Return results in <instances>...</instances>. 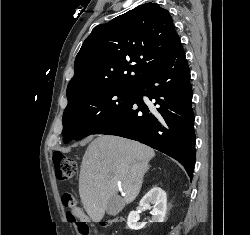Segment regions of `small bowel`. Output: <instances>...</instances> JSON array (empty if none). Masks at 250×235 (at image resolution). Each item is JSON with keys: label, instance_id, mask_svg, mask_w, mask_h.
<instances>
[{"label": "small bowel", "instance_id": "obj_1", "mask_svg": "<svg viewBox=\"0 0 250 235\" xmlns=\"http://www.w3.org/2000/svg\"><path fill=\"white\" fill-rule=\"evenodd\" d=\"M72 212H73V214H74L75 216H77V217H79V218H85V215H84L83 211H82L81 208L78 207V206H74V207L72 208Z\"/></svg>", "mask_w": 250, "mask_h": 235}]
</instances>
